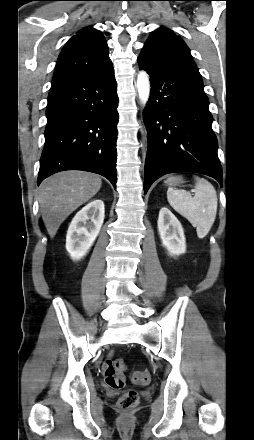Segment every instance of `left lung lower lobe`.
Returning <instances> with one entry per match:
<instances>
[{
    "mask_svg": "<svg viewBox=\"0 0 254 440\" xmlns=\"http://www.w3.org/2000/svg\"><path fill=\"white\" fill-rule=\"evenodd\" d=\"M147 71L151 93L144 110L148 132L144 192L159 177L198 172L222 185L217 138L202 81L190 69L151 56H139Z\"/></svg>",
    "mask_w": 254,
    "mask_h": 440,
    "instance_id": "left-lung-lower-lobe-1",
    "label": "left lung lower lobe"
}]
</instances>
